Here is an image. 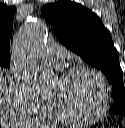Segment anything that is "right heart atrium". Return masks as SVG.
Wrapping results in <instances>:
<instances>
[{"label": "right heart atrium", "instance_id": "1", "mask_svg": "<svg viewBox=\"0 0 125 128\" xmlns=\"http://www.w3.org/2000/svg\"><path fill=\"white\" fill-rule=\"evenodd\" d=\"M8 84L13 106L26 114L36 113L45 96L36 89L31 81L12 69L8 74Z\"/></svg>", "mask_w": 125, "mask_h": 128}]
</instances>
